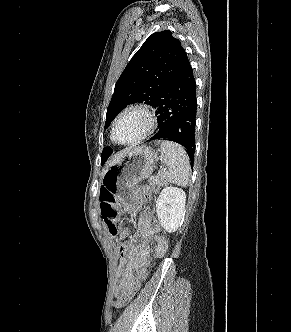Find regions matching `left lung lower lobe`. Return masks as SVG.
Wrapping results in <instances>:
<instances>
[{
    "label": "left lung lower lobe",
    "mask_w": 291,
    "mask_h": 332,
    "mask_svg": "<svg viewBox=\"0 0 291 332\" xmlns=\"http://www.w3.org/2000/svg\"><path fill=\"white\" fill-rule=\"evenodd\" d=\"M159 131L150 139H169L184 146L193 163L197 113L196 82L186 52L155 105Z\"/></svg>",
    "instance_id": "0a47b994"
}]
</instances>
